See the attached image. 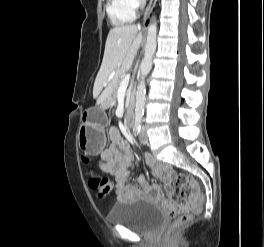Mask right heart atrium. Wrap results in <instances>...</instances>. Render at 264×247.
<instances>
[{
	"label": "right heart atrium",
	"mask_w": 264,
	"mask_h": 247,
	"mask_svg": "<svg viewBox=\"0 0 264 247\" xmlns=\"http://www.w3.org/2000/svg\"><path fill=\"white\" fill-rule=\"evenodd\" d=\"M126 9L135 13L143 5V0H121Z\"/></svg>",
	"instance_id": "obj_1"
}]
</instances>
